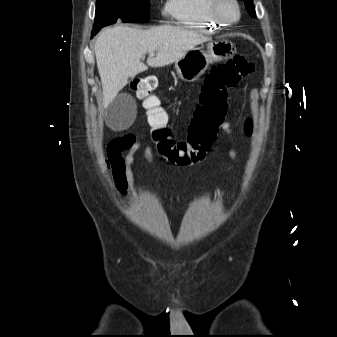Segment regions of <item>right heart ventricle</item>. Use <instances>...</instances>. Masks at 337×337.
Here are the masks:
<instances>
[{"label":"right heart ventricle","instance_id":"right-heart-ventricle-1","mask_svg":"<svg viewBox=\"0 0 337 337\" xmlns=\"http://www.w3.org/2000/svg\"><path fill=\"white\" fill-rule=\"evenodd\" d=\"M212 2L213 0H167L165 12L181 26L213 32L226 27L227 24L214 17Z\"/></svg>","mask_w":337,"mask_h":337}]
</instances>
